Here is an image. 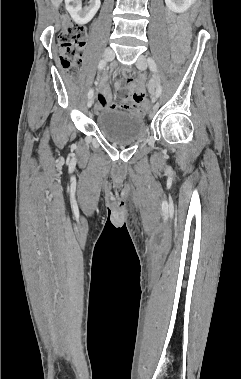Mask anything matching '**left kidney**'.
I'll use <instances>...</instances> for the list:
<instances>
[{
  "label": "left kidney",
  "instance_id": "obj_1",
  "mask_svg": "<svg viewBox=\"0 0 241 379\" xmlns=\"http://www.w3.org/2000/svg\"><path fill=\"white\" fill-rule=\"evenodd\" d=\"M196 0H165L166 6L175 13L187 11Z\"/></svg>",
  "mask_w": 241,
  "mask_h": 379
}]
</instances>
